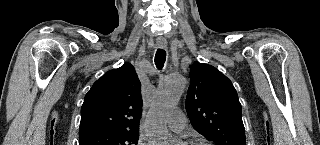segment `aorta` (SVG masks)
<instances>
[{"label":"aorta","mask_w":320,"mask_h":145,"mask_svg":"<svg viewBox=\"0 0 320 145\" xmlns=\"http://www.w3.org/2000/svg\"><path fill=\"white\" fill-rule=\"evenodd\" d=\"M185 84V78L181 75L167 76L160 84L145 124V131L152 145H174L166 120L177 106Z\"/></svg>","instance_id":"1"}]
</instances>
